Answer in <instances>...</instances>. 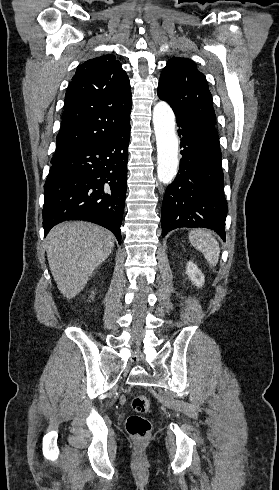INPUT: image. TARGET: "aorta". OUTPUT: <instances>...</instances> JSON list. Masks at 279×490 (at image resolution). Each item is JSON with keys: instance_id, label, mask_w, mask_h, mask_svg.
Masks as SVG:
<instances>
[{"instance_id": "obj_1", "label": "aorta", "mask_w": 279, "mask_h": 490, "mask_svg": "<svg viewBox=\"0 0 279 490\" xmlns=\"http://www.w3.org/2000/svg\"><path fill=\"white\" fill-rule=\"evenodd\" d=\"M153 125L157 145L158 180L169 184L177 174L178 138L175 132V116L166 102L160 101L154 106Z\"/></svg>"}]
</instances>
